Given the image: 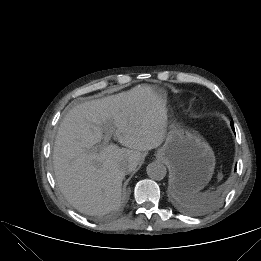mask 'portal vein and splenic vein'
<instances>
[{
  "mask_svg": "<svg viewBox=\"0 0 261 261\" xmlns=\"http://www.w3.org/2000/svg\"><path fill=\"white\" fill-rule=\"evenodd\" d=\"M112 135H113V130L111 128H107L106 132H105V137H104L103 143L101 145L97 146V147H94V148L96 150H98V149H103V148L107 147L108 144H109V140L112 137Z\"/></svg>",
  "mask_w": 261,
  "mask_h": 261,
  "instance_id": "18ae733b",
  "label": "portal vein and splenic vein"
}]
</instances>
